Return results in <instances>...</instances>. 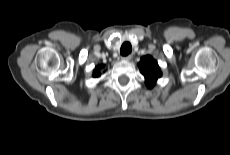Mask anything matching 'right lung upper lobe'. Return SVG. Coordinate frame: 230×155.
I'll use <instances>...</instances> for the list:
<instances>
[{"mask_svg": "<svg viewBox=\"0 0 230 155\" xmlns=\"http://www.w3.org/2000/svg\"><path fill=\"white\" fill-rule=\"evenodd\" d=\"M103 67H104V65L100 66V68H103ZM98 68H99V66L96 67V70H95V72L93 74L94 77H99L101 75V73L99 72Z\"/></svg>", "mask_w": 230, "mask_h": 155, "instance_id": "obj_1", "label": "right lung upper lobe"}]
</instances>
